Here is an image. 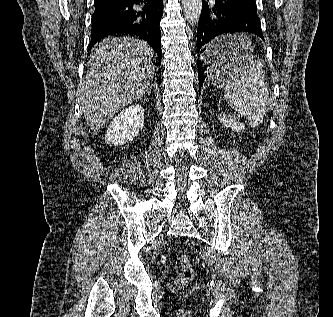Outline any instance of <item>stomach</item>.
<instances>
[{"label":"stomach","mask_w":333,"mask_h":317,"mask_svg":"<svg viewBox=\"0 0 333 317\" xmlns=\"http://www.w3.org/2000/svg\"><path fill=\"white\" fill-rule=\"evenodd\" d=\"M245 33H215V41H207L203 62H213L206 75V88H231L232 82H263L237 81V74L244 71L233 69H254L258 55L254 52V42L246 41Z\"/></svg>","instance_id":"1"}]
</instances>
